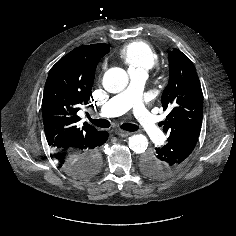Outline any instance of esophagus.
<instances>
[{"label": "esophagus", "mask_w": 236, "mask_h": 236, "mask_svg": "<svg viewBox=\"0 0 236 236\" xmlns=\"http://www.w3.org/2000/svg\"><path fill=\"white\" fill-rule=\"evenodd\" d=\"M116 134L120 137H127L131 135V132L123 131V130H117Z\"/></svg>", "instance_id": "obj_1"}]
</instances>
